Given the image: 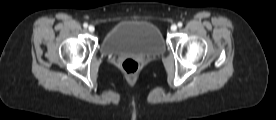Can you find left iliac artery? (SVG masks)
<instances>
[{"label": "left iliac artery", "mask_w": 276, "mask_h": 120, "mask_svg": "<svg viewBox=\"0 0 276 120\" xmlns=\"http://www.w3.org/2000/svg\"><path fill=\"white\" fill-rule=\"evenodd\" d=\"M182 25H183L182 22H178L179 27H182Z\"/></svg>", "instance_id": "1"}]
</instances>
